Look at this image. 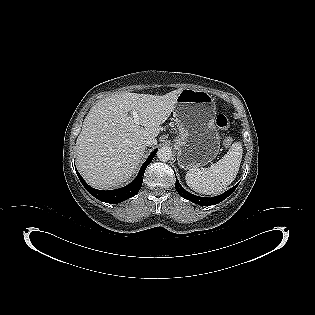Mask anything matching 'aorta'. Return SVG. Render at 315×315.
Listing matches in <instances>:
<instances>
[{
	"label": "aorta",
	"instance_id": "762f6f07",
	"mask_svg": "<svg viewBox=\"0 0 315 315\" xmlns=\"http://www.w3.org/2000/svg\"><path fill=\"white\" fill-rule=\"evenodd\" d=\"M172 156V149L168 146H164L158 149L157 157L160 161L166 162Z\"/></svg>",
	"mask_w": 315,
	"mask_h": 315
}]
</instances>
